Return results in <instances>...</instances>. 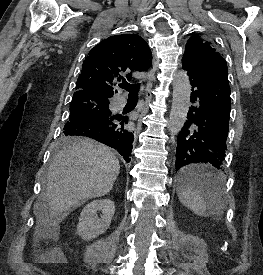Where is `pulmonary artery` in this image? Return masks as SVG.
<instances>
[{"label":"pulmonary artery","instance_id":"obj_1","mask_svg":"<svg viewBox=\"0 0 263 275\" xmlns=\"http://www.w3.org/2000/svg\"><path fill=\"white\" fill-rule=\"evenodd\" d=\"M113 105L117 109L122 108L125 105V99L121 96H118L114 99Z\"/></svg>","mask_w":263,"mask_h":275}]
</instances>
